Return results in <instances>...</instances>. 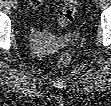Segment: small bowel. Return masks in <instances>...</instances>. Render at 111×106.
<instances>
[{"mask_svg": "<svg viewBox=\"0 0 111 106\" xmlns=\"http://www.w3.org/2000/svg\"><path fill=\"white\" fill-rule=\"evenodd\" d=\"M30 3L33 6H38L40 4V1L39 0H32V1H30Z\"/></svg>", "mask_w": 111, "mask_h": 106, "instance_id": "obj_1", "label": "small bowel"}]
</instances>
